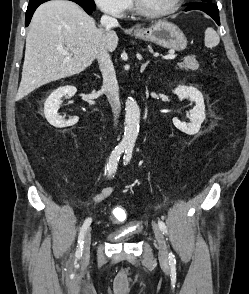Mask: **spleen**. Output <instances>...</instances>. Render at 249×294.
Listing matches in <instances>:
<instances>
[{"instance_id":"obj_1","label":"spleen","mask_w":249,"mask_h":294,"mask_svg":"<svg viewBox=\"0 0 249 294\" xmlns=\"http://www.w3.org/2000/svg\"><path fill=\"white\" fill-rule=\"evenodd\" d=\"M220 38L216 31L208 27L205 30V45L206 47L213 48L219 44Z\"/></svg>"}]
</instances>
